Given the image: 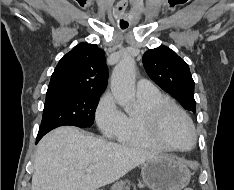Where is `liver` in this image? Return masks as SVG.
<instances>
[{
	"mask_svg": "<svg viewBox=\"0 0 234 190\" xmlns=\"http://www.w3.org/2000/svg\"><path fill=\"white\" fill-rule=\"evenodd\" d=\"M155 156L86 135L75 127H60L38 144L31 190H98ZM91 165L95 169L87 173Z\"/></svg>",
	"mask_w": 234,
	"mask_h": 190,
	"instance_id": "1",
	"label": "liver"
}]
</instances>
